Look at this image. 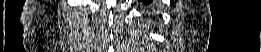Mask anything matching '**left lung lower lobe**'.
Returning <instances> with one entry per match:
<instances>
[{"label":"left lung lower lobe","instance_id":"obj_1","mask_svg":"<svg viewBox=\"0 0 261 52\" xmlns=\"http://www.w3.org/2000/svg\"><path fill=\"white\" fill-rule=\"evenodd\" d=\"M144 5H146L147 7H149L150 5H152V1L151 0H143Z\"/></svg>","mask_w":261,"mask_h":52}]
</instances>
